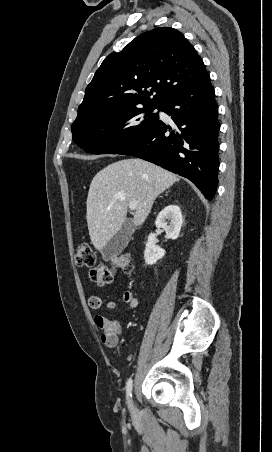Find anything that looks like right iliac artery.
I'll list each match as a JSON object with an SVG mask.
<instances>
[{
    "label": "right iliac artery",
    "mask_w": 272,
    "mask_h": 452,
    "mask_svg": "<svg viewBox=\"0 0 272 452\" xmlns=\"http://www.w3.org/2000/svg\"><path fill=\"white\" fill-rule=\"evenodd\" d=\"M132 386H133V384H132V379L130 378V379L127 381V384H126V393H127V398H128V399L132 396V394H131V392H132ZM128 402H129V401H128Z\"/></svg>",
    "instance_id": "1"
}]
</instances>
